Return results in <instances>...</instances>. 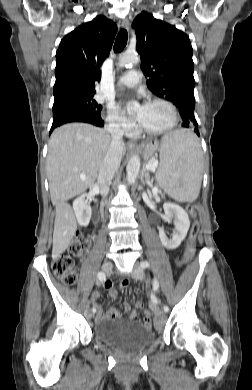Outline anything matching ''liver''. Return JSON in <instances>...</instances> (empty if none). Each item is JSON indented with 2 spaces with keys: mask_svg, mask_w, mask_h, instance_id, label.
<instances>
[{
  "mask_svg": "<svg viewBox=\"0 0 252 390\" xmlns=\"http://www.w3.org/2000/svg\"><path fill=\"white\" fill-rule=\"evenodd\" d=\"M110 143L105 130L85 123L63 125L50 137L46 169L51 201L56 207L53 259L70 246L77 230L75 214L67 201L93 186ZM125 153L123 146L122 155Z\"/></svg>",
  "mask_w": 252,
  "mask_h": 390,
  "instance_id": "6515ba94",
  "label": "liver"
}]
</instances>
